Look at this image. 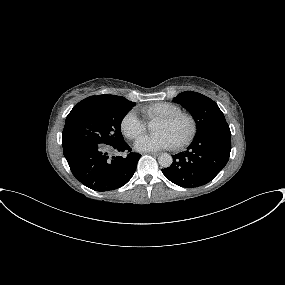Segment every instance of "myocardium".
Here are the masks:
<instances>
[{"instance_id":"obj_1","label":"myocardium","mask_w":285,"mask_h":285,"mask_svg":"<svg viewBox=\"0 0 285 285\" xmlns=\"http://www.w3.org/2000/svg\"><path fill=\"white\" fill-rule=\"evenodd\" d=\"M183 119L187 122L188 124V130L185 136L176 144H174V147L176 149H182L186 147L195 137L196 132H197V121L195 117L188 112H177L171 115L163 116L158 118V121L164 122V123H173L177 120Z\"/></svg>"}]
</instances>
